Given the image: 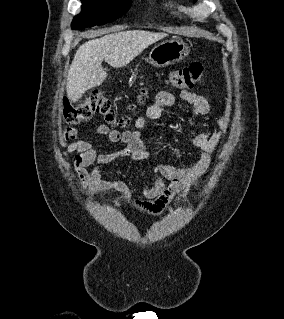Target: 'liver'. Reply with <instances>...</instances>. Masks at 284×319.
<instances>
[{
	"mask_svg": "<svg viewBox=\"0 0 284 319\" xmlns=\"http://www.w3.org/2000/svg\"><path fill=\"white\" fill-rule=\"evenodd\" d=\"M166 36V33L128 30L83 43L76 51L68 72V99L77 102L85 91L102 84L107 77L101 65L103 60L114 68L124 67L149 45Z\"/></svg>",
	"mask_w": 284,
	"mask_h": 319,
	"instance_id": "liver-1",
	"label": "liver"
}]
</instances>
